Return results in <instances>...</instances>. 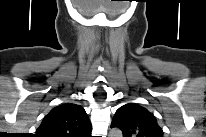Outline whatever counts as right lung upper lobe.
Wrapping results in <instances>:
<instances>
[{
	"label": "right lung upper lobe",
	"mask_w": 206,
	"mask_h": 137,
	"mask_svg": "<svg viewBox=\"0 0 206 137\" xmlns=\"http://www.w3.org/2000/svg\"><path fill=\"white\" fill-rule=\"evenodd\" d=\"M92 126L84 108L66 103L53 108L36 131L39 137H88Z\"/></svg>",
	"instance_id": "obj_1"
}]
</instances>
